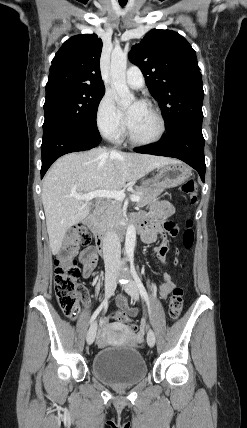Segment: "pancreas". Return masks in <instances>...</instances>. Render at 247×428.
Instances as JSON below:
<instances>
[{"label": "pancreas", "instance_id": "1", "mask_svg": "<svg viewBox=\"0 0 247 428\" xmlns=\"http://www.w3.org/2000/svg\"><path fill=\"white\" fill-rule=\"evenodd\" d=\"M163 192L162 188H155L150 186H137L133 192L135 195L140 197L137 202L138 207H144L150 202L156 200L158 196ZM123 215L122 204L119 201H112L106 207V209L98 217L97 227L101 230L106 229L109 225L120 221Z\"/></svg>", "mask_w": 247, "mask_h": 428}]
</instances>
